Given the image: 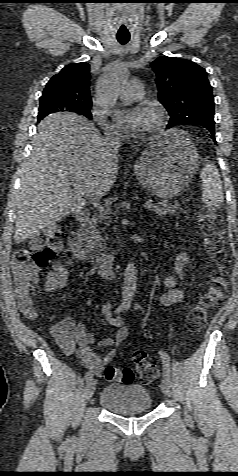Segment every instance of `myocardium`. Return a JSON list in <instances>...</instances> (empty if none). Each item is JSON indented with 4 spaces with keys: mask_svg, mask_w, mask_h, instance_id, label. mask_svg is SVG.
<instances>
[{
    "mask_svg": "<svg viewBox=\"0 0 238 476\" xmlns=\"http://www.w3.org/2000/svg\"><path fill=\"white\" fill-rule=\"evenodd\" d=\"M146 105L150 109H152L154 111L155 115H156L155 124L150 128V133H155L163 127V125L165 123V119H166V114H165L164 109L158 104L147 103Z\"/></svg>",
    "mask_w": 238,
    "mask_h": 476,
    "instance_id": "f54148a6",
    "label": "myocardium"
}]
</instances>
